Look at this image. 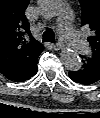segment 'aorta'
Here are the masks:
<instances>
[{
  "mask_svg": "<svg viewBox=\"0 0 100 118\" xmlns=\"http://www.w3.org/2000/svg\"><path fill=\"white\" fill-rule=\"evenodd\" d=\"M61 7L62 0H38L39 12L47 17L57 15ZM60 59L68 70L77 71L81 68L80 57L71 49H63L60 53Z\"/></svg>",
  "mask_w": 100,
  "mask_h": 118,
  "instance_id": "1",
  "label": "aorta"
}]
</instances>
